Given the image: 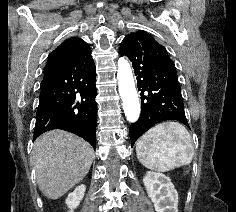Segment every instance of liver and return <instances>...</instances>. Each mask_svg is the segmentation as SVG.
<instances>
[{"instance_id": "6515ba94", "label": "liver", "mask_w": 236, "mask_h": 212, "mask_svg": "<svg viewBox=\"0 0 236 212\" xmlns=\"http://www.w3.org/2000/svg\"><path fill=\"white\" fill-rule=\"evenodd\" d=\"M94 150L82 138L63 130H52L36 139L32 163L40 191L58 199L89 172Z\"/></svg>"}]
</instances>
